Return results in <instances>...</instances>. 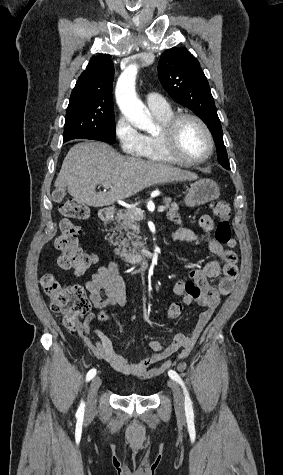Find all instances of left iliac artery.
Here are the masks:
<instances>
[{
    "mask_svg": "<svg viewBox=\"0 0 283 475\" xmlns=\"http://www.w3.org/2000/svg\"><path fill=\"white\" fill-rule=\"evenodd\" d=\"M168 375L171 379L175 380L176 382H178L183 390H184V393H185V411H186V416H193V408H192V402H191V399L189 397V394L186 390V387L181 379V377L173 370H170L168 372Z\"/></svg>",
    "mask_w": 283,
    "mask_h": 475,
    "instance_id": "obj_1",
    "label": "left iliac artery"
}]
</instances>
